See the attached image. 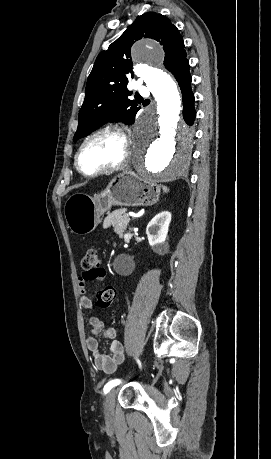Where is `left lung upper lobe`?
Instances as JSON below:
<instances>
[{
    "label": "left lung upper lobe",
    "instance_id": "left-lung-upper-lobe-1",
    "mask_svg": "<svg viewBox=\"0 0 271 459\" xmlns=\"http://www.w3.org/2000/svg\"><path fill=\"white\" fill-rule=\"evenodd\" d=\"M141 38L160 42L165 52L164 66L170 72L186 59L183 38L169 19L155 12L139 16L106 51L97 56L87 80L74 141L106 122L134 123L140 107L128 99L132 92L127 89V84L129 76L133 77L130 49Z\"/></svg>",
    "mask_w": 271,
    "mask_h": 459
}]
</instances>
